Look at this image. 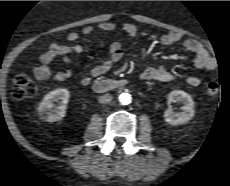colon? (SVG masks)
<instances>
[{"mask_svg": "<svg viewBox=\"0 0 230 186\" xmlns=\"http://www.w3.org/2000/svg\"><path fill=\"white\" fill-rule=\"evenodd\" d=\"M13 96L16 99L33 97L37 93L35 82L24 74L17 75L13 81ZM208 96H216L219 93V85L216 82H210L206 86Z\"/></svg>", "mask_w": 230, "mask_h": 186, "instance_id": "obj_1", "label": "colon"}]
</instances>
